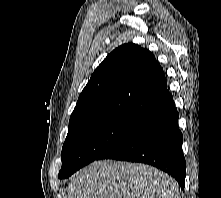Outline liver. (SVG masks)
I'll return each mask as SVG.
<instances>
[{"label":"liver","instance_id":"liver-1","mask_svg":"<svg viewBox=\"0 0 221 198\" xmlns=\"http://www.w3.org/2000/svg\"><path fill=\"white\" fill-rule=\"evenodd\" d=\"M68 198H180L179 185L164 172L140 163L94 161L75 175Z\"/></svg>","mask_w":221,"mask_h":198}]
</instances>
